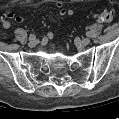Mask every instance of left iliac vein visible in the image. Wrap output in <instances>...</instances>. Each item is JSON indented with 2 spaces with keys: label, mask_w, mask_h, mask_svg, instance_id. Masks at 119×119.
Instances as JSON below:
<instances>
[{
  "label": "left iliac vein",
  "mask_w": 119,
  "mask_h": 119,
  "mask_svg": "<svg viewBox=\"0 0 119 119\" xmlns=\"http://www.w3.org/2000/svg\"><path fill=\"white\" fill-rule=\"evenodd\" d=\"M90 42H91V40H90L89 38H83V39L80 41V43H81L82 45H88V44H90Z\"/></svg>",
  "instance_id": "left-iliac-vein-1"
}]
</instances>
